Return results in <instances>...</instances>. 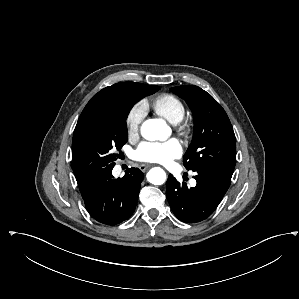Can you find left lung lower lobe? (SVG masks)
I'll use <instances>...</instances> for the list:
<instances>
[{"label": "left lung lower lobe", "mask_w": 299, "mask_h": 299, "mask_svg": "<svg viewBox=\"0 0 299 299\" xmlns=\"http://www.w3.org/2000/svg\"><path fill=\"white\" fill-rule=\"evenodd\" d=\"M195 187L188 188L172 175L166 182V196L175 216L186 223H196L208 218L228 190L231 178L212 169L194 170Z\"/></svg>", "instance_id": "1"}]
</instances>
